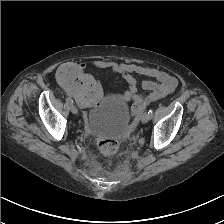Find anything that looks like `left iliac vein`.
Instances as JSON below:
<instances>
[{"instance_id":"left-iliac-vein-1","label":"left iliac vein","mask_w":224,"mask_h":224,"mask_svg":"<svg viewBox=\"0 0 224 224\" xmlns=\"http://www.w3.org/2000/svg\"><path fill=\"white\" fill-rule=\"evenodd\" d=\"M151 119L150 115L146 112L142 115L141 117V122L142 123H147Z\"/></svg>"}]
</instances>
